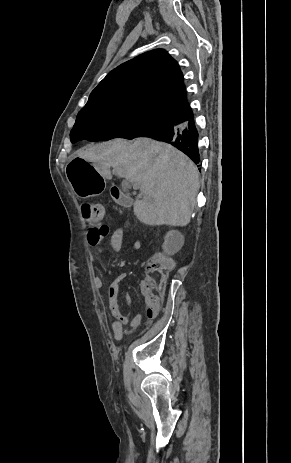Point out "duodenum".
<instances>
[{
  "label": "duodenum",
  "instance_id": "obj_1",
  "mask_svg": "<svg viewBox=\"0 0 291 463\" xmlns=\"http://www.w3.org/2000/svg\"><path fill=\"white\" fill-rule=\"evenodd\" d=\"M111 197L123 206H128L131 203L130 197L118 188L111 190Z\"/></svg>",
  "mask_w": 291,
  "mask_h": 463
}]
</instances>
